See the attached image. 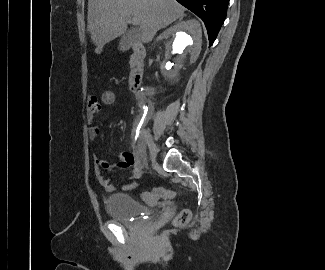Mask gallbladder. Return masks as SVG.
<instances>
[{
	"label": "gallbladder",
	"instance_id": "1",
	"mask_svg": "<svg viewBox=\"0 0 325 270\" xmlns=\"http://www.w3.org/2000/svg\"><path fill=\"white\" fill-rule=\"evenodd\" d=\"M140 41V35L137 31L130 30L123 34L120 40V49L127 50L131 47V45L135 42Z\"/></svg>",
	"mask_w": 325,
	"mask_h": 270
}]
</instances>
